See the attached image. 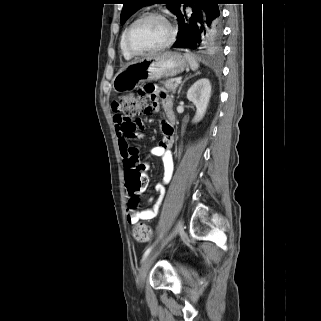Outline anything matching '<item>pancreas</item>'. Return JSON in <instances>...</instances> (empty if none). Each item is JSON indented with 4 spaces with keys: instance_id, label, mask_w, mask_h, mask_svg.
Returning a JSON list of instances; mask_svg holds the SVG:
<instances>
[{
    "instance_id": "obj_1",
    "label": "pancreas",
    "mask_w": 321,
    "mask_h": 321,
    "mask_svg": "<svg viewBox=\"0 0 321 321\" xmlns=\"http://www.w3.org/2000/svg\"><path fill=\"white\" fill-rule=\"evenodd\" d=\"M162 84L165 86L167 90L172 91L173 93L176 91V88L178 87V84L175 83V79H168L166 81H163Z\"/></svg>"
}]
</instances>
